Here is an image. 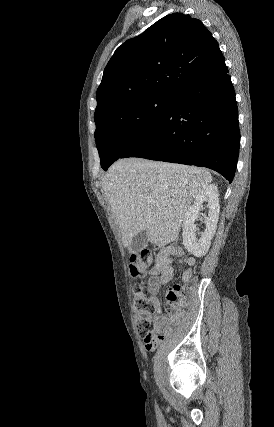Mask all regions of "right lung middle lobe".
<instances>
[{"mask_svg":"<svg viewBox=\"0 0 274 427\" xmlns=\"http://www.w3.org/2000/svg\"><path fill=\"white\" fill-rule=\"evenodd\" d=\"M174 95L147 94L119 101L95 117V140L104 170L163 118Z\"/></svg>","mask_w":274,"mask_h":427,"instance_id":"dd1d6c3e","label":"right lung middle lobe"}]
</instances>
